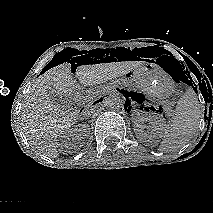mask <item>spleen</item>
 I'll list each match as a JSON object with an SVG mask.
<instances>
[{
    "instance_id": "obj_1",
    "label": "spleen",
    "mask_w": 213,
    "mask_h": 213,
    "mask_svg": "<svg viewBox=\"0 0 213 213\" xmlns=\"http://www.w3.org/2000/svg\"><path fill=\"white\" fill-rule=\"evenodd\" d=\"M202 117L201 104L192 88L178 100L174 117L165 127L159 150L169 152L187 144L198 130Z\"/></svg>"
}]
</instances>
